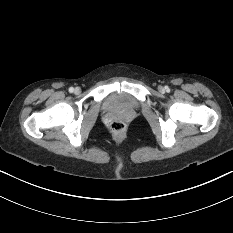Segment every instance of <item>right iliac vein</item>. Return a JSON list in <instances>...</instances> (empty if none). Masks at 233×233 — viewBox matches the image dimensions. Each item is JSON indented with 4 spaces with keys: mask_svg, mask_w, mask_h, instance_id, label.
I'll return each mask as SVG.
<instances>
[{
    "mask_svg": "<svg viewBox=\"0 0 233 233\" xmlns=\"http://www.w3.org/2000/svg\"><path fill=\"white\" fill-rule=\"evenodd\" d=\"M80 88L79 87H77V88H75V90H74V92H75V94H79L80 93Z\"/></svg>",
    "mask_w": 233,
    "mask_h": 233,
    "instance_id": "right-iliac-vein-1",
    "label": "right iliac vein"
}]
</instances>
